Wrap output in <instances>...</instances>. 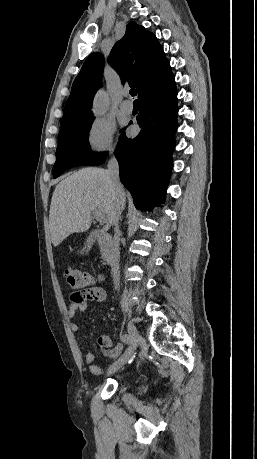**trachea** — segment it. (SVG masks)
Here are the masks:
<instances>
[{"instance_id": "3493384b", "label": "trachea", "mask_w": 257, "mask_h": 459, "mask_svg": "<svg viewBox=\"0 0 257 459\" xmlns=\"http://www.w3.org/2000/svg\"><path fill=\"white\" fill-rule=\"evenodd\" d=\"M130 95L133 96V97L136 96L137 95V91L135 89H131L130 90ZM135 101H137V100H135Z\"/></svg>"}]
</instances>
